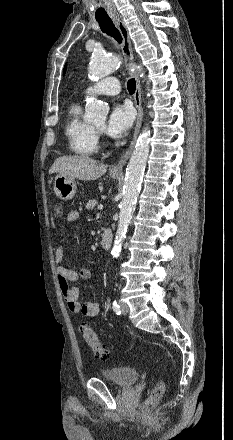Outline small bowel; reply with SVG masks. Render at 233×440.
Segmentation results:
<instances>
[{
	"label": "small bowel",
	"instance_id": "c3829d8e",
	"mask_svg": "<svg viewBox=\"0 0 233 440\" xmlns=\"http://www.w3.org/2000/svg\"><path fill=\"white\" fill-rule=\"evenodd\" d=\"M80 217L77 210H71L67 213L68 222H76ZM64 248L58 246L55 250V268L58 276L59 286L62 295L67 303L69 310L74 314H82L86 317H96L100 313V305L97 302L80 301L79 290L72 286V283L79 280H88L92 277V273L87 268L79 270L69 269L63 265Z\"/></svg>",
	"mask_w": 233,
	"mask_h": 440
}]
</instances>
